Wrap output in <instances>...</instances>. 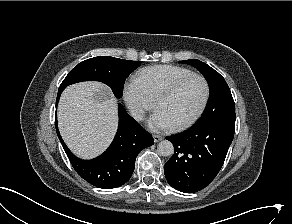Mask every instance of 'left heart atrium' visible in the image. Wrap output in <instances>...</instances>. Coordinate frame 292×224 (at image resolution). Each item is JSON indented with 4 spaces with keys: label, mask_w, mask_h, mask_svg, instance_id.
<instances>
[{
    "label": "left heart atrium",
    "mask_w": 292,
    "mask_h": 224,
    "mask_svg": "<svg viewBox=\"0 0 292 224\" xmlns=\"http://www.w3.org/2000/svg\"><path fill=\"white\" fill-rule=\"evenodd\" d=\"M148 125L150 129L155 130V131L167 130L172 127V124L170 123L168 118L164 115L162 111L158 109L150 118Z\"/></svg>",
    "instance_id": "1"
}]
</instances>
